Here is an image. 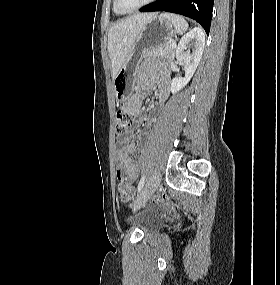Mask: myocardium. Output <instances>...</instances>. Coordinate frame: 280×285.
<instances>
[{"label": "myocardium", "instance_id": "myocardium-1", "mask_svg": "<svg viewBox=\"0 0 280 285\" xmlns=\"http://www.w3.org/2000/svg\"><path fill=\"white\" fill-rule=\"evenodd\" d=\"M155 0H145L143 3H141L140 5L134 7V8H131V9H125L121 6L120 4V0H114V3H115V6L117 8V10L121 13H132V12H135L151 3H153Z\"/></svg>", "mask_w": 280, "mask_h": 285}]
</instances>
